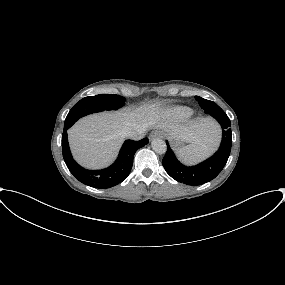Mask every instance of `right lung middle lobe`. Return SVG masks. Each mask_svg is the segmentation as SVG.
I'll list each match as a JSON object with an SVG mask.
<instances>
[{
  "label": "right lung middle lobe",
  "instance_id": "dd1d6c3e",
  "mask_svg": "<svg viewBox=\"0 0 285 285\" xmlns=\"http://www.w3.org/2000/svg\"><path fill=\"white\" fill-rule=\"evenodd\" d=\"M125 98L119 95L99 94L89 96L77 102L69 111L64 129H69L79 118L104 110H116L123 106Z\"/></svg>",
  "mask_w": 285,
  "mask_h": 285
}]
</instances>
